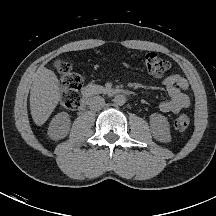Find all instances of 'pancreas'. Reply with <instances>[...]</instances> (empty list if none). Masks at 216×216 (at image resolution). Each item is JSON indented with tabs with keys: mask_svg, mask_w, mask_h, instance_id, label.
<instances>
[{
	"mask_svg": "<svg viewBox=\"0 0 216 216\" xmlns=\"http://www.w3.org/2000/svg\"><path fill=\"white\" fill-rule=\"evenodd\" d=\"M92 87L93 93L95 94H101V93H106L108 90L107 88L99 85H90Z\"/></svg>",
	"mask_w": 216,
	"mask_h": 216,
	"instance_id": "pancreas-1",
	"label": "pancreas"
}]
</instances>
